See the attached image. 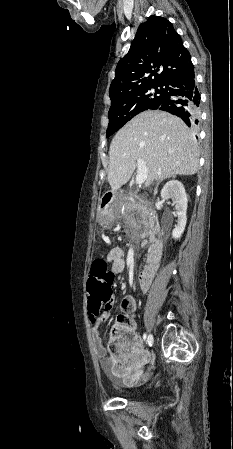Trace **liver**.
<instances>
[{
	"label": "liver",
	"instance_id": "liver-1",
	"mask_svg": "<svg viewBox=\"0 0 233 449\" xmlns=\"http://www.w3.org/2000/svg\"><path fill=\"white\" fill-rule=\"evenodd\" d=\"M141 159L148 168L145 185L174 175H192L199 167L194 133L170 113L149 110L131 119L112 139L108 182L113 191L131 178Z\"/></svg>",
	"mask_w": 233,
	"mask_h": 449
}]
</instances>
